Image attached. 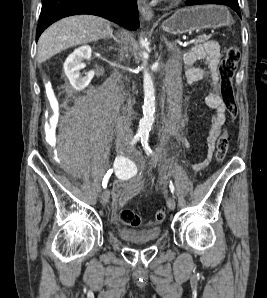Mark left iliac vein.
<instances>
[{"instance_id": "left-iliac-vein-1", "label": "left iliac vein", "mask_w": 267, "mask_h": 298, "mask_svg": "<svg viewBox=\"0 0 267 298\" xmlns=\"http://www.w3.org/2000/svg\"><path fill=\"white\" fill-rule=\"evenodd\" d=\"M129 154L132 155L134 153V150L133 149H130L129 151ZM167 206L170 210H174L175 207H176V202H175V198L173 196H169L167 198Z\"/></svg>"}]
</instances>
